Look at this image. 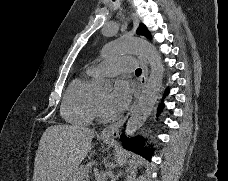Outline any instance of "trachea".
Listing matches in <instances>:
<instances>
[{
    "instance_id": "3493384b",
    "label": "trachea",
    "mask_w": 228,
    "mask_h": 181,
    "mask_svg": "<svg viewBox=\"0 0 228 181\" xmlns=\"http://www.w3.org/2000/svg\"><path fill=\"white\" fill-rule=\"evenodd\" d=\"M115 1V0H113ZM135 74H141V68H137V70L135 71Z\"/></svg>"
}]
</instances>
